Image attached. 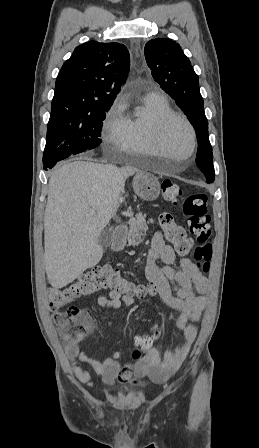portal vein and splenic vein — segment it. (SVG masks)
<instances>
[{
    "mask_svg": "<svg viewBox=\"0 0 259 448\" xmlns=\"http://www.w3.org/2000/svg\"><path fill=\"white\" fill-rule=\"evenodd\" d=\"M90 214H91V216H95V214H96L95 210H91Z\"/></svg>",
    "mask_w": 259,
    "mask_h": 448,
    "instance_id": "obj_1",
    "label": "portal vein and splenic vein"
}]
</instances>
